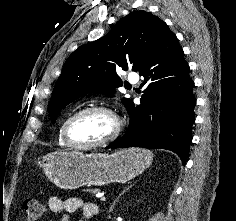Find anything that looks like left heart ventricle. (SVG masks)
I'll use <instances>...</instances> for the list:
<instances>
[{
  "label": "left heart ventricle",
  "mask_w": 236,
  "mask_h": 221,
  "mask_svg": "<svg viewBox=\"0 0 236 221\" xmlns=\"http://www.w3.org/2000/svg\"><path fill=\"white\" fill-rule=\"evenodd\" d=\"M114 131V121L106 113L92 112L77 118L70 129V137L77 144L102 141Z\"/></svg>",
  "instance_id": "b2bd125f"
}]
</instances>
